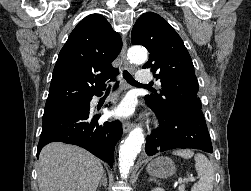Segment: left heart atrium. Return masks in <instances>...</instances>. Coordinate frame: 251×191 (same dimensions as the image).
<instances>
[{"instance_id":"left-heart-atrium-1","label":"left heart atrium","mask_w":251,"mask_h":191,"mask_svg":"<svg viewBox=\"0 0 251 191\" xmlns=\"http://www.w3.org/2000/svg\"><path fill=\"white\" fill-rule=\"evenodd\" d=\"M134 112V106L133 104L125 100L121 102L112 112V114L118 118H128L130 117Z\"/></svg>"}]
</instances>
